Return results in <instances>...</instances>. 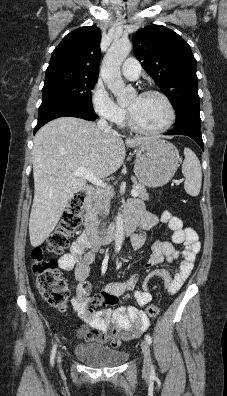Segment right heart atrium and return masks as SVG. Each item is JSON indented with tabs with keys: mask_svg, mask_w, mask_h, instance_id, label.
Masks as SVG:
<instances>
[{
	"mask_svg": "<svg viewBox=\"0 0 227 396\" xmlns=\"http://www.w3.org/2000/svg\"><path fill=\"white\" fill-rule=\"evenodd\" d=\"M92 105L97 115L110 123H120L125 117V110L114 102L100 83L92 90Z\"/></svg>",
	"mask_w": 227,
	"mask_h": 396,
	"instance_id": "right-heart-atrium-1",
	"label": "right heart atrium"
}]
</instances>
